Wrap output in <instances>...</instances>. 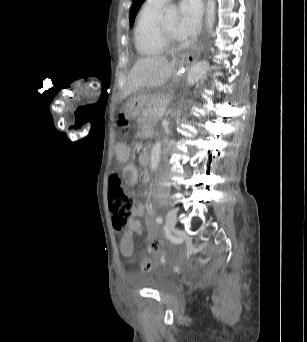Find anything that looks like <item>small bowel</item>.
<instances>
[{
	"label": "small bowel",
	"instance_id": "small-bowel-1",
	"mask_svg": "<svg viewBox=\"0 0 307 342\" xmlns=\"http://www.w3.org/2000/svg\"><path fill=\"white\" fill-rule=\"evenodd\" d=\"M145 153L139 154V162L141 163V157L144 156ZM120 157L123 161L127 163L126 167L123 171V177L125 182L129 186H134L137 183L138 179V170L136 166L131 163L132 153L129 148L123 147L120 151ZM148 179V172L144 173V180ZM146 207L144 204H137L132 212V218L129 222V225H134V232H143L141 222L139 221V217H141L145 213ZM121 240H131V239H121Z\"/></svg>",
	"mask_w": 307,
	"mask_h": 342
}]
</instances>
